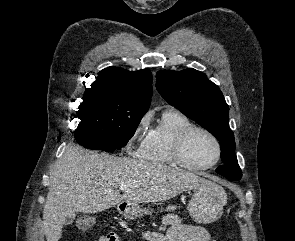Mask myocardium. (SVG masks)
I'll use <instances>...</instances> for the list:
<instances>
[{
  "label": "myocardium",
  "mask_w": 295,
  "mask_h": 241,
  "mask_svg": "<svg viewBox=\"0 0 295 241\" xmlns=\"http://www.w3.org/2000/svg\"><path fill=\"white\" fill-rule=\"evenodd\" d=\"M194 131H201V132L205 133L215 143V146L217 149V155H216L215 160L208 165H205V166L193 165V164L189 163L184 156V145H185L187 139L189 138V136ZM172 155H173V158L176 161V163L179 164L181 167L186 168L188 170H192V171H204V170H208V169L213 168L214 166H216L219 163V161L221 160V157H222V146H221L219 139L212 131H210L209 129H207L203 126L192 124V125L184 128L175 138V140L172 144Z\"/></svg>",
  "instance_id": "f54148a6"
}]
</instances>
